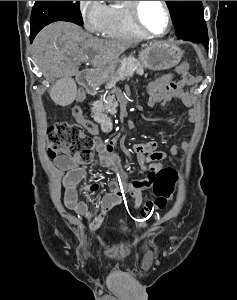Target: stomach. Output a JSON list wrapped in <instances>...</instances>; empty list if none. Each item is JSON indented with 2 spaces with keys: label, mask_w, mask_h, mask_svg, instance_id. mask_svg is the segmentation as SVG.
Returning a JSON list of instances; mask_svg holds the SVG:
<instances>
[{
  "label": "stomach",
  "mask_w": 237,
  "mask_h": 300,
  "mask_svg": "<svg viewBox=\"0 0 237 300\" xmlns=\"http://www.w3.org/2000/svg\"><path fill=\"white\" fill-rule=\"evenodd\" d=\"M183 55L184 51L173 41H155L150 47L139 51L138 57L146 69L165 71V69H172V67L179 65ZM117 65L118 61H114L97 75L98 85L106 83L109 77L116 73Z\"/></svg>",
  "instance_id": "stomach-1"
}]
</instances>
